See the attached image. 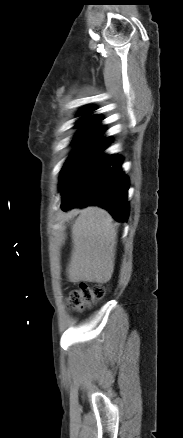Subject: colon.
<instances>
[{
    "mask_svg": "<svg viewBox=\"0 0 183 438\" xmlns=\"http://www.w3.org/2000/svg\"><path fill=\"white\" fill-rule=\"evenodd\" d=\"M105 293L106 289L102 285L82 283L77 289L71 292L69 303L74 310L81 311L102 299Z\"/></svg>",
    "mask_w": 183,
    "mask_h": 438,
    "instance_id": "5ec220e1",
    "label": "colon"
}]
</instances>
